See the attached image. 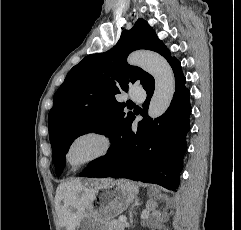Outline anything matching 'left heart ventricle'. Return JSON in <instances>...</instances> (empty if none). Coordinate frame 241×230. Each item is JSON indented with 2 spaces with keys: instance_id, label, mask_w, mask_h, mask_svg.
Masks as SVG:
<instances>
[{
  "instance_id": "obj_1",
  "label": "left heart ventricle",
  "mask_w": 241,
  "mask_h": 230,
  "mask_svg": "<svg viewBox=\"0 0 241 230\" xmlns=\"http://www.w3.org/2000/svg\"><path fill=\"white\" fill-rule=\"evenodd\" d=\"M101 149V142L94 137H84L77 140L69 152V161L76 165L92 157Z\"/></svg>"
}]
</instances>
